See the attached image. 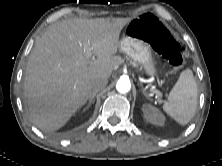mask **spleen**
<instances>
[{
	"label": "spleen",
	"instance_id": "3e777b00",
	"mask_svg": "<svg viewBox=\"0 0 222 166\" xmlns=\"http://www.w3.org/2000/svg\"><path fill=\"white\" fill-rule=\"evenodd\" d=\"M198 89L190 69L181 72L168 95L163 110L180 125H186L195 115Z\"/></svg>",
	"mask_w": 222,
	"mask_h": 166
}]
</instances>
